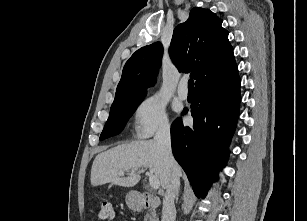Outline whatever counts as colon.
<instances>
[{
    "mask_svg": "<svg viewBox=\"0 0 307 221\" xmlns=\"http://www.w3.org/2000/svg\"><path fill=\"white\" fill-rule=\"evenodd\" d=\"M114 218V209L111 202H103L98 212L99 221H111Z\"/></svg>",
    "mask_w": 307,
    "mask_h": 221,
    "instance_id": "colon-1",
    "label": "colon"
}]
</instances>
